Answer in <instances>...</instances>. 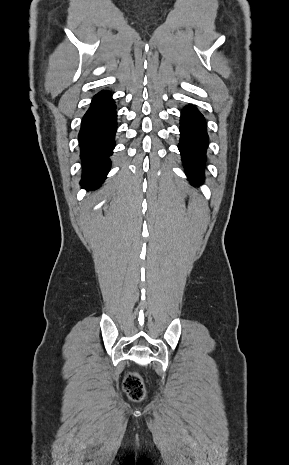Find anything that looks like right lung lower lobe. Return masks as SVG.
Instances as JSON below:
<instances>
[{
    "label": "right lung lower lobe",
    "mask_w": 289,
    "mask_h": 465,
    "mask_svg": "<svg viewBox=\"0 0 289 465\" xmlns=\"http://www.w3.org/2000/svg\"><path fill=\"white\" fill-rule=\"evenodd\" d=\"M117 129V112L111 94L97 93L85 113L79 132L80 157L83 163L81 186L99 187L110 170Z\"/></svg>",
    "instance_id": "1"
}]
</instances>
